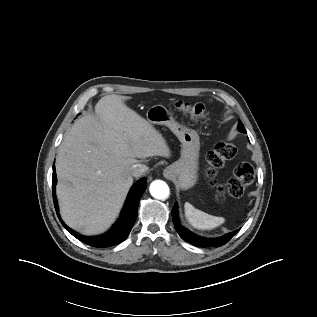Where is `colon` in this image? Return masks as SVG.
Instances as JSON below:
<instances>
[{"instance_id": "obj_1", "label": "colon", "mask_w": 317, "mask_h": 317, "mask_svg": "<svg viewBox=\"0 0 317 317\" xmlns=\"http://www.w3.org/2000/svg\"><path fill=\"white\" fill-rule=\"evenodd\" d=\"M176 109L179 113L187 115L196 121L206 120L208 114L203 104H191L185 101H178ZM236 146L230 142H219L207 156V167L204 171L208 183L215 189V197L224 199L226 197L239 198L243 195L245 188L254 180V170L248 163H239L234 176L225 186L216 180L217 172L226 162L232 160L236 155Z\"/></svg>"}]
</instances>
